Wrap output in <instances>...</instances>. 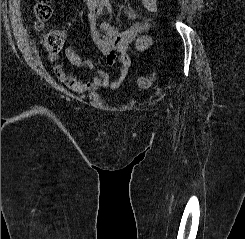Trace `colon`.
<instances>
[{
    "label": "colon",
    "mask_w": 245,
    "mask_h": 239,
    "mask_svg": "<svg viewBox=\"0 0 245 239\" xmlns=\"http://www.w3.org/2000/svg\"><path fill=\"white\" fill-rule=\"evenodd\" d=\"M33 12L36 19V28L42 30L44 23L52 15V8L49 4V0H37ZM62 42V36L56 32H46L42 37V43L50 54L58 52ZM154 83L155 77L152 75L140 77L137 81V84L141 89L150 88Z\"/></svg>",
    "instance_id": "colon-1"
}]
</instances>
